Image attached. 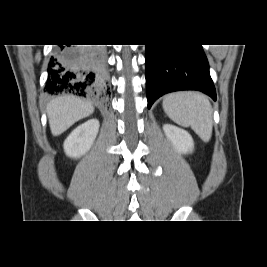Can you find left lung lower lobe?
<instances>
[{
    "instance_id": "0a47b994",
    "label": "left lung lower lobe",
    "mask_w": 267,
    "mask_h": 267,
    "mask_svg": "<svg viewBox=\"0 0 267 267\" xmlns=\"http://www.w3.org/2000/svg\"><path fill=\"white\" fill-rule=\"evenodd\" d=\"M148 109L160 96L198 90L216 100L209 65L201 45H146Z\"/></svg>"
}]
</instances>
